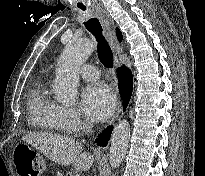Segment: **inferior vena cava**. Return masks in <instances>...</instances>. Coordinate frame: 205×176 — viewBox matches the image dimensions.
<instances>
[{"label":"inferior vena cava","instance_id":"1","mask_svg":"<svg viewBox=\"0 0 205 176\" xmlns=\"http://www.w3.org/2000/svg\"><path fill=\"white\" fill-rule=\"evenodd\" d=\"M92 128V123L89 121H86L83 125V131L89 132Z\"/></svg>","mask_w":205,"mask_h":176}]
</instances>
